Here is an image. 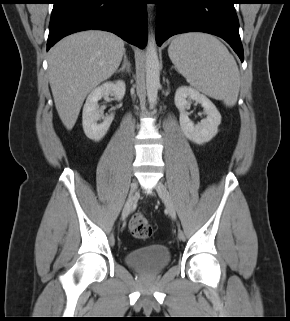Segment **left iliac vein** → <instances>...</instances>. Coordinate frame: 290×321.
I'll return each mask as SVG.
<instances>
[{
    "instance_id": "left-iliac-vein-1",
    "label": "left iliac vein",
    "mask_w": 290,
    "mask_h": 321,
    "mask_svg": "<svg viewBox=\"0 0 290 321\" xmlns=\"http://www.w3.org/2000/svg\"><path fill=\"white\" fill-rule=\"evenodd\" d=\"M155 189L161 200L164 202L170 217L172 219H176V209L167 188L160 181H158Z\"/></svg>"
}]
</instances>
